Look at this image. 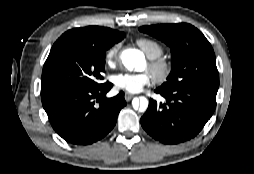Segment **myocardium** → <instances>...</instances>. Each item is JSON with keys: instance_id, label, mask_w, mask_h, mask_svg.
<instances>
[{"instance_id": "f54148a6", "label": "myocardium", "mask_w": 254, "mask_h": 174, "mask_svg": "<svg viewBox=\"0 0 254 174\" xmlns=\"http://www.w3.org/2000/svg\"><path fill=\"white\" fill-rule=\"evenodd\" d=\"M148 70L158 84L167 82L172 74V63L165 57L150 59Z\"/></svg>"}]
</instances>
